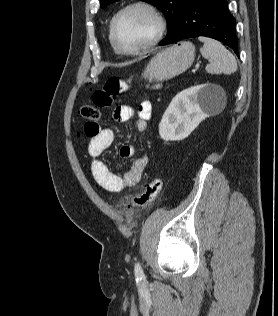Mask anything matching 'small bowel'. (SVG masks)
Masks as SVG:
<instances>
[{
	"label": "small bowel",
	"instance_id": "obj_1",
	"mask_svg": "<svg viewBox=\"0 0 278 316\" xmlns=\"http://www.w3.org/2000/svg\"><path fill=\"white\" fill-rule=\"evenodd\" d=\"M152 106L150 101L143 100L135 110L129 105L117 106L112 114L116 122H126L136 116V128L139 133L145 132L148 121L151 118ZM88 155L91 158L90 168L94 180L105 190L119 193L137 185L142 177L147 164L145 156L137 157L129 170L122 176L114 174L107 164L100 159L102 153L113 143L115 135L112 129H99L98 132L89 136ZM120 155L124 158H132L135 155L133 146H123Z\"/></svg>",
	"mask_w": 278,
	"mask_h": 316
}]
</instances>
